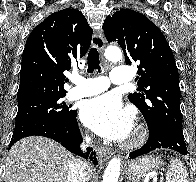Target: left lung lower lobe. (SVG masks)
Segmentation results:
<instances>
[{
	"label": "left lung lower lobe",
	"instance_id": "obj_1",
	"mask_svg": "<svg viewBox=\"0 0 196 182\" xmlns=\"http://www.w3.org/2000/svg\"><path fill=\"white\" fill-rule=\"evenodd\" d=\"M160 148L171 149L182 155L188 153L183 132L165 125H159L154 130H149V138L146 144L142 148L131 152L129 156L133 159Z\"/></svg>",
	"mask_w": 196,
	"mask_h": 182
}]
</instances>
